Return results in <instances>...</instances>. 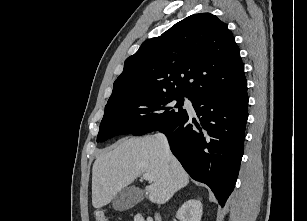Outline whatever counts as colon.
Returning <instances> with one entry per match:
<instances>
[{
    "label": "colon",
    "mask_w": 307,
    "mask_h": 221,
    "mask_svg": "<svg viewBox=\"0 0 307 221\" xmlns=\"http://www.w3.org/2000/svg\"><path fill=\"white\" fill-rule=\"evenodd\" d=\"M94 221H109V220L108 217L102 211H97L94 216ZM133 221H151V220L138 215L134 217Z\"/></svg>",
    "instance_id": "5ec220e1"
}]
</instances>
